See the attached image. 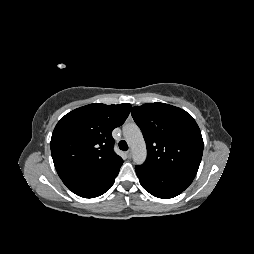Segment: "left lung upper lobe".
Instances as JSON below:
<instances>
[{
	"mask_svg": "<svg viewBox=\"0 0 254 254\" xmlns=\"http://www.w3.org/2000/svg\"><path fill=\"white\" fill-rule=\"evenodd\" d=\"M131 114L147 146L143 165L161 173L194 179L202 159L203 139L193 117L165 103L136 106Z\"/></svg>",
	"mask_w": 254,
	"mask_h": 254,
	"instance_id": "left-lung-upper-lobe-1",
	"label": "left lung upper lobe"
}]
</instances>
